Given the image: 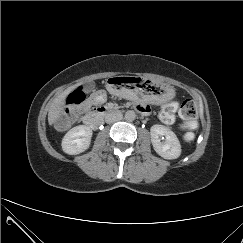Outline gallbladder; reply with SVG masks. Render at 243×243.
Listing matches in <instances>:
<instances>
[{"mask_svg": "<svg viewBox=\"0 0 243 243\" xmlns=\"http://www.w3.org/2000/svg\"><path fill=\"white\" fill-rule=\"evenodd\" d=\"M94 87H95V83L92 82V81H91V82H88V83L85 84V90H86L87 92L93 90Z\"/></svg>", "mask_w": 243, "mask_h": 243, "instance_id": "gallbladder-1", "label": "gallbladder"}]
</instances>
